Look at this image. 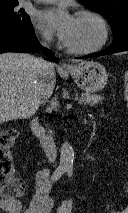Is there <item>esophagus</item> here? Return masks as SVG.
I'll use <instances>...</instances> for the list:
<instances>
[{
    "label": "esophagus",
    "mask_w": 128,
    "mask_h": 213,
    "mask_svg": "<svg viewBox=\"0 0 128 213\" xmlns=\"http://www.w3.org/2000/svg\"><path fill=\"white\" fill-rule=\"evenodd\" d=\"M60 65H61V67L64 68V69H69V68H71V65L68 64V63H66V62H61Z\"/></svg>",
    "instance_id": "34e87169"
}]
</instances>
